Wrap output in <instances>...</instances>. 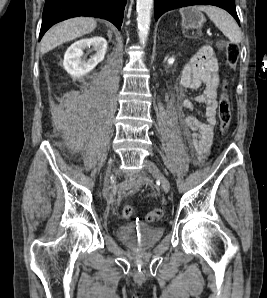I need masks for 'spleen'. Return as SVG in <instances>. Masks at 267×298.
<instances>
[{
    "label": "spleen",
    "mask_w": 267,
    "mask_h": 298,
    "mask_svg": "<svg viewBox=\"0 0 267 298\" xmlns=\"http://www.w3.org/2000/svg\"><path fill=\"white\" fill-rule=\"evenodd\" d=\"M194 10L207 14L215 26L222 31L232 43L239 44L242 40L241 31L235 20L224 10L210 5L194 6Z\"/></svg>",
    "instance_id": "spleen-1"
}]
</instances>
